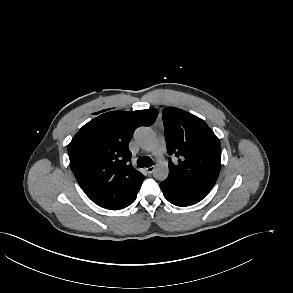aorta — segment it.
Segmentation results:
<instances>
[{
  "label": "aorta",
  "mask_w": 293,
  "mask_h": 293,
  "mask_svg": "<svg viewBox=\"0 0 293 293\" xmlns=\"http://www.w3.org/2000/svg\"><path fill=\"white\" fill-rule=\"evenodd\" d=\"M134 138L145 150L155 153L158 145L156 135L148 127H140L135 131ZM168 165L165 162H158L154 167V177L163 181L168 177Z\"/></svg>",
  "instance_id": "1"
}]
</instances>
